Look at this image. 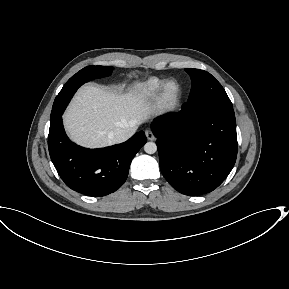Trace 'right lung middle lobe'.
I'll return each mask as SVG.
<instances>
[{
  "mask_svg": "<svg viewBox=\"0 0 289 289\" xmlns=\"http://www.w3.org/2000/svg\"><path fill=\"white\" fill-rule=\"evenodd\" d=\"M113 67L106 66H88L77 72L72 76L68 82L63 86L60 93L57 95L51 112L50 122L54 121L58 116L63 114L73 94L71 91L78 85L80 87L83 83L93 79L106 77L111 75Z\"/></svg>",
  "mask_w": 289,
  "mask_h": 289,
  "instance_id": "1",
  "label": "right lung middle lobe"
}]
</instances>
